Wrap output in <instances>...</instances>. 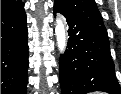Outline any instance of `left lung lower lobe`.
I'll list each match as a JSON object with an SVG mask.
<instances>
[{"label": "left lung lower lobe", "mask_w": 121, "mask_h": 94, "mask_svg": "<svg viewBox=\"0 0 121 94\" xmlns=\"http://www.w3.org/2000/svg\"><path fill=\"white\" fill-rule=\"evenodd\" d=\"M56 13L64 15L69 26L68 49L59 65L62 94L94 91L121 94L105 26L70 15L57 2L54 3Z\"/></svg>", "instance_id": "1"}]
</instances>
